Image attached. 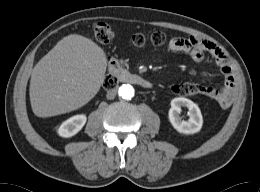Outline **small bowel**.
<instances>
[{"mask_svg": "<svg viewBox=\"0 0 260 192\" xmlns=\"http://www.w3.org/2000/svg\"><path fill=\"white\" fill-rule=\"evenodd\" d=\"M167 48L171 52L186 54L195 62L203 61L206 54L212 56L223 74L224 85L219 90L199 85L198 93L216 100L222 107L231 105L236 96V80L227 57L215 43L195 36L175 37Z\"/></svg>", "mask_w": 260, "mask_h": 192, "instance_id": "1", "label": "small bowel"}]
</instances>
